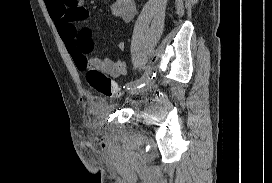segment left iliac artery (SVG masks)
I'll list each match as a JSON object with an SVG mask.
<instances>
[{
    "label": "left iliac artery",
    "instance_id": "left-iliac-artery-1",
    "mask_svg": "<svg viewBox=\"0 0 272 183\" xmlns=\"http://www.w3.org/2000/svg\"><path fill=\"white\" fill-rule=\"evenodd\" d=\"M152 76H155L154 73H152L150 67H146L144 74L139 79L127 83L126 87L128 90H132L133 88L140 89L145 86V82L151 79Z\"/></svg>",
    "mask_w": 272,
    "mask_h": 183
}]
</instances>
